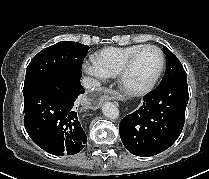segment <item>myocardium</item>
<instances>
[{"mask_svg": "<svg viewBox=\"0 0 209 179\" xmlns=\"http://www.w3.org/2000/svg\"><path fill=\"white\" fill-rule=\"evenodd\" d=\"M147 49H156L159 52L160 57H161V65H160L159 71L157 72L155 77L145 86L140 87V88H130L126 84L127 75L130 72L137 58ZM165 66H166V58H165V54L163 50L156 45H145L142 48H140L138 51H136L134 54H132L128 58V60L125 62V64L122 66L121 70L119 71L117 75L118 84L121 90L129 96H132V97L144 96L155 88V86L157 85V83L159 82L160 78L163 75Z\"/></svg>", "mask_w": 209, "mask_h": 179, "instance_id": "1", "label": "myocardium"}]
</instances>
